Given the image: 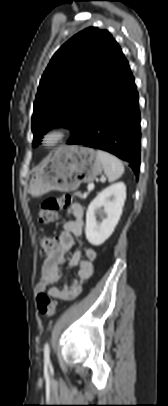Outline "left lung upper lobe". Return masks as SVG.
<instances>
[{
	"label": "left lung upper lobe",
	"mask_w": 168,
	"mask_h": 406,
	"mask_svg": "<svg viewBox=\"0 0 168 406\" xmlns=\"http://www.w3.org/2000/svg\"><path fill=\"white\" fill-rule=\"evenodd\" d=\"M124 57L107 30L89 27L54 54L38 88L32 116L34 147L54 127H67L71 138L86 119Z\"/></svg>",
	"instance_id": "obj_1"
}]
</instances>
